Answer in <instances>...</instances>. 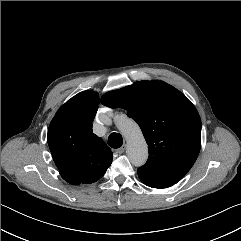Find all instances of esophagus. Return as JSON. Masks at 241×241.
Returning a JSON list of instances; mask_svg holds the SVG:
<instances>
[{
  "label": "esophagus",
  "instance_id": "esophagus-1",
  "mask_svg": "<svg viewBox=\"0 0 241 241\" xmlns=\"http://www.w3.org/2000/svg\"><path fill=\"white\" fill-rule=\"evenodd\" d=\"M125 149H126V145L124 144V145H123L122 147H120L119 149H116V150H115V153H117V154H122V153H124Z\"/></svg>",
  "mask_w": 241,
  "mask_h": 241
}]
</instances>
